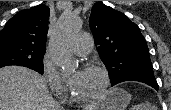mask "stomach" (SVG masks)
<instances>
[{
    "instance_id": "0dacf381",
    "label": "stomach",
    "mask_w": 171,
    "mask_h": 110,
    "mask_svg": "<svg viewBox=\"0 0 171 110\" xmlns=\"http://www.w3.org/2000/svg\"><path fill=\"white\" fill-rule=\"evenodd\" d=\"M131 100L128 92L120 88H113L106 94L105 99L92 110H126Z\"/></svg>"
}]
</instances>
